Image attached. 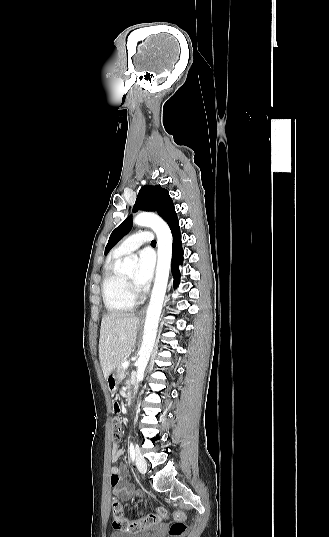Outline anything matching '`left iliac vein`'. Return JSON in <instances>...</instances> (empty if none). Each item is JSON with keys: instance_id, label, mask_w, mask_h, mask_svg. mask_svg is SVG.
Masks as SVG:
<instances>
[{"instance_id": "1", "label": "left iliac vein", "mask_w": 329, "mask_h": 537, "mask_svg": "<svg viewBox=\"0 0 329 537\" xmlns=\"http://www.w3.org/2000/svg\"><path fill=\"white\" fill-rule=\"evenodd\" d=\"M135 462H136V466H137L138 470L142 474H144L147 471V463H146L145 459L141 455L136 454Z\"/></svg>"}]
</instances>
